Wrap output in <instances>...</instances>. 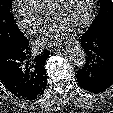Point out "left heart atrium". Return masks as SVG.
Instances as JSON below:
<instances>
[{
  "label": "left heart atrium",
  "instance_id": "1",
  "mask_svg": "<svg viewBox=\"0 0 113 113\" xmlns=\"http://www.w3.org/2000/svg\"><path fill=\"white\" fill-rule=\"evenodd\" d=\"M72 29L60 22L53 21L43 32L39 43L43 46L55 45L69 36Z\"/></svg>",
  "mask_w": 113,
  "mask_h": 113
}]
</instances>
